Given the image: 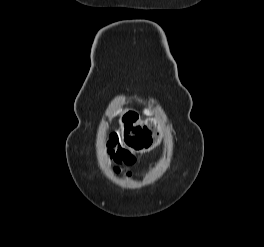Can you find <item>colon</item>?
<instances>
[{"label":"colon","instance_id":"1","mask_svg":"<svg viewBox=\"0 0 264 247\" xmlns=\"http://www.w3.org/2000/svg\"><path fill=\"white\" fill-rule=\"evenodd\" d=\"M111 155L120 165H129L134 161V156L126 149L120 147L116 136L110 138Z\"/></svg>","mask_w":264,"mask_h":247}]
</instances>
